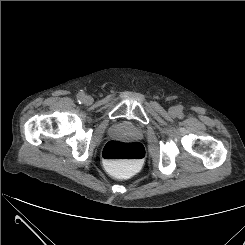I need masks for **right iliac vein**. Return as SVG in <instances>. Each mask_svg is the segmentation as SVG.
Here are the masks:
<instances>
[{
	"mask_svg": "<svg viewBox=\"0 0 245 245\" xmlns=\"http://www.w3.org/2000/svg\"><path fill=\"white\" fill-rule=\"evenodd\" d=\"M84 103L86 104H91L92 103V97L91 96H84V99H83Z\"/></svg>",
	"mask_w": 245,
	"mask_h": 245,
	"instance_id": "63e3f726",
	"label": "right iliac vein"
}]
</instances>
